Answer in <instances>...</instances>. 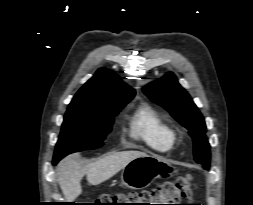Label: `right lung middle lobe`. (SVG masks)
<instances>
[{
  "mask_svg": "<svg viewBox=\"0 0 253 205\" xmlns=\"http://www.w3.org/2000/svg\"><path fill=\"white\" fill-rule=\"evenodd\" d=\"M132 98L109 103L98 111L68 109L56 144L54 161L69 153L101 147L111 131L113 117Z\"/></svg>",
  "mask_w": 253,
  "mask_h": 205,
  "instance_id": "right-lung-middle-lobe-1",
  "label": "right lung middle lobe"
}]
</instances>
